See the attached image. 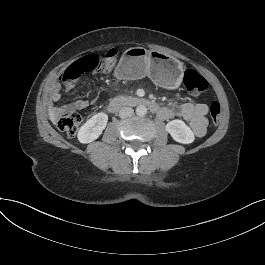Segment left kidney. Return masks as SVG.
I'll list each match as a JSON object with an SVG mask.
<instances>
[{"label":"left kidney","mask_w":265,"mask_h":265,"mask_svg":"<svg viewBox=\"0 0 265 265\" xmlns=\"http://www.w3.org/2000/svg\"><path fill=\"white\" fill-rule=\"evenodd\" d=\"M171 138L180 144L189 145L195 141V135L191 128L182 120H171L165 126Z\"/></svg>","instance_id":"left-kidney-1"}]
</instances>
